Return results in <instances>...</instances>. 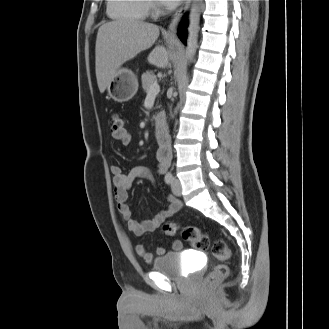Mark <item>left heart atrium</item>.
Wrapping results in <instances>:
<instances>
[{
	"instance_id": "obj_1",
	"label": "left heart atrium",
	"mask_w": 329,
	"mask_h": 329,
	"mask_svg": "<svg viewBox=\"0 0 329 329\" xmlns=\"http://www.w3.org/2000/svg\"><path fill=\"white\" fill-rule=\"evenodd\" d=\"M181 0H163L169 6H176Z\"/></svg>"
}]
</instances>
